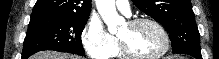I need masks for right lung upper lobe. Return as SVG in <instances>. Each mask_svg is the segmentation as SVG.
<instances>
[{
  "label": "right lung upper lobe",
  "mask_w": 219,
  "mask_h": 59,
  "mask_svg": "<svg viewBox=\"0 0 219 59\" xmlns=\"http://www.w3.org/2000/svg\"><path fill=\"white\" fill-rule=\"evenodd\" d=\"M91 0H37L32 14L89 16Z\"/></svg>",
  "instance_id": "right-lung-upper-lobe-1"
}]
</instances>
